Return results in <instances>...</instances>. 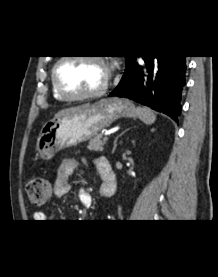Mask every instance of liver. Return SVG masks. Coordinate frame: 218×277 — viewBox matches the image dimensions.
I'll return each mask as SVG.
<instances>
[{
    "label": "liver",
    "instance_id": "obj_1",
    "mask_svg": "<svg viewBox=\"0 0 218 277\" xmlns=\"http://www.w3.org/2000/svg\"><path fill=\"white\" fill-rule=\"evenodd\" d=\"M87 106H88V104L87 105H82V106H77V107H71V108L63 109V110L59 111L55 115V119L62 118V117H65V116H69V115L78 113V112L82 111L84 108H86Z\"/></svg>",
    "mask_w": 218,
    "mask_h": 277
}]
</instances>
